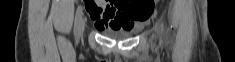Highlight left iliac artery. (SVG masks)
<instances>
[{"mask_svg": "<svg viewBox=\"0 0 235 62\" xmlns=\"http://www.w3.org/2000/svg\"><path fill=\"white\" fill-rule=\"evenodd\" d=\"M161 28L163 29V24H161Z\"/></svg>", "mask_w": 235, "mask_h": 62, "instance_id": "1", "label": "left iliac artery"}]
</instances>
